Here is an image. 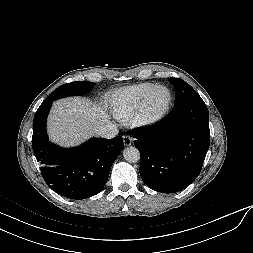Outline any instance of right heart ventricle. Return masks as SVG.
Here are the masks:
<instances>
[{
	"label": "right heart ventricle",
	"mask_w": 253,
	"mask_h": 253,
	"mask_svg": "<svg viewBox=\"0 0 253 253\" xmlns=\"http://www.w3.org/2000/svg\"><path fill=\"white\" fill-rule=\"evenodd\" d=\"M155 84L144 82L117 89L109 97V107L113 116L121 122L134 118L142 100Z\"/></svg>",
	"instance_id": "1"
}]
</instances>
